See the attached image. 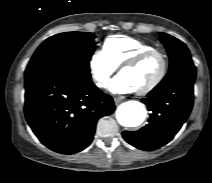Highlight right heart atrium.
<instances>
[{
	"instance_id": "right-heart-atrium-1",
	"label": "right heart atrium",
	"mask_w": 212,
	"mask_h": 183,
	"mask_svg": "<svg viewBox=\"0 0 212 183\" xmlns=\"http://www.w3.org/2000/svg\"><path fill=\"white\" fill-rule=\"evenodd\" d=\"M117 67L103 50L96 51L89 60V72L94 84L99 88H105Z\"/></svg>"
}]
</instances>
